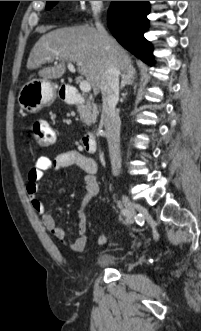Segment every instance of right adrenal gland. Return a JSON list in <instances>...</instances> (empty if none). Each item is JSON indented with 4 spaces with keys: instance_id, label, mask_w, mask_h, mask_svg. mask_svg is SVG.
I'll list each match as a JSON object with an SVG mask.
<instances>
[{
    "instance_id": "right-adrenal-gland-1",
    "label": "right adrenal gland",
    "mask_w": 201,
    "mask_h": 331,
    "mask_svg": "<svg viewBox=\"0 0 201 331\" xmlns=\"http://www.w3.org/2000/svg\"><path fill=\"white\" fill-rule=\"evenodd\" d=\"M135 79H136V74L135 73H131V72L123 73L122 76H121L120 89L123 90V88L127 84L128 85L133 84Z\"/></svg>"
}]
</instances>
